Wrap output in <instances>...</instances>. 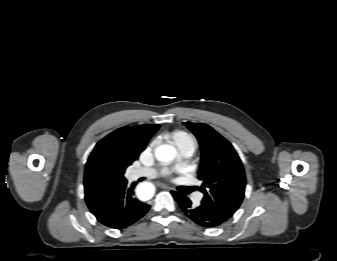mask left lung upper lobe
Segmentation results:
<instances>
[{
	"label": "left lung upper lobe",
	"mask_w": 337,
	"mask_h": 261,
	"mask_svg": "<svg viewBox=\"0 0 337 261\" xmlns=\"http://www.w3.org/2000/svg\"><path fill=\"white\" fill-rule=\"evenodd\" d=\"M184 124L197 137L201 149V203L231 218L244 198L246 178L242 162L233 146L207 124Z\"/></svg>",
	"instance_id": "5c2ea615"
}]
</instances>
